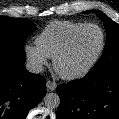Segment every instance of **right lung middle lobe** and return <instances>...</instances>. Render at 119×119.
Returning a JSON list of instances; mask_svg holds the SVG:
<instances>
[{
	"mask_svg": "<svg viewBox=\"0 0 119 119\" xmlns=\"http://www.w3.org/2000/svg\"><path fill=\"white\" fill-rule=\"evenodd\" d=\"M35 29L30 20L0 16V57L25 58L24 41Z\"/></svg>",
	"mask_w": 119,
	"mask_h": 119,
	"instance_id": "right-lung-middle-lobe-1",
	"label": "right lung middle lobe"
}]
</instances>
